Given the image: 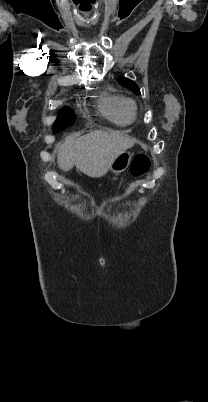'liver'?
<instances>
[{"label": "liver", "instance_id": "1", "mask_svg": "<svg viewBox=\"0 0 208 402\" xmlns=\"http://www.w3.org/2000/svg\"><path fill=\"white\" fill-rule=\"evenodd\" d=\"M134 144L135 138L122 132H90L81 138L68 136L58 148V166L63 172L76 166L90 178H101L109 172L113 160Z\"/></svg>", "mask_w": 208, "mask_h": 402}]
</instances>
